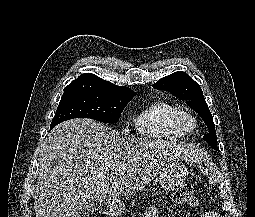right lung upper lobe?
<instances>
[{
  "instance_id": "cb5924a9",
  "label": "right lung upper lobe",
  "mask_w": 255,
  "mask_h": 217,
  "mask_svg": "<svg viewBox=\"0 0 255 217\" xmlns=\"http://www.w3.org/2000/svg\"><path fill=\"white\" fill-rule=\"evenodd\" d=\"M73 90L112 94H135V92L126 86H117L111 82L102 80L101 78H98L96 75L91 73L80 75L76 80L72 81L68 86L64 88V91Z\"/></svg>"
}]
</instances>
